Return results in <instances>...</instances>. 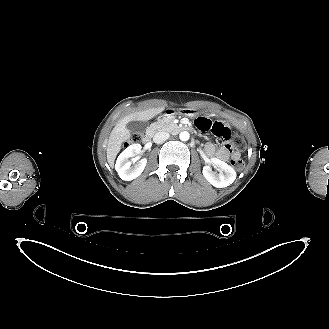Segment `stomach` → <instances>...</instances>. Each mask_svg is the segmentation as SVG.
Returning a JSON list of instances; mask_svg holds the SVG:
<instances>
[{
  "label": "stomach",
  "instance_id": "1",
  "mask_svg": "<svg viewBox=\"0 0 329 329\" xmlns=\"http://www.w3.org/2000/svg\"><path fill=\"white\" fill-rule=\"evenodd\" d=\"M183 113L189 117H194L197 113L196 110L191 108L182 109ZM177 112L174 109H171L167 114H165L168 117H173Z\"/></svg>",
  "mask_w": 329,
  "mask_h": 329
}]
</instances>
